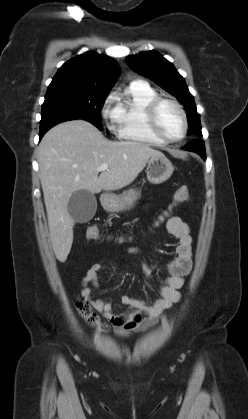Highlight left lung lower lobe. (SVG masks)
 I'll list each match as a JSON object with an SVG mask.
<instances>
[{
  "label": "left lung lower lobe",
  "instance_id": "1",
  "mask_svg": "<svg viewBox=\"0 0 248 419\" xmlns=\"http://www.w3.org/2000/svg\"><path fill=\"white\" fill-rule=\"evenodd\" d=\"M183 149L188 150V151L197 152L198 154H200L203 157V159L206 158L205 146H204V143L201 142V141L192 142L191 144L185 146Z\"/></svg>",
  "mask_w": 248,
  "mask_h": 419
}]
</instances>
